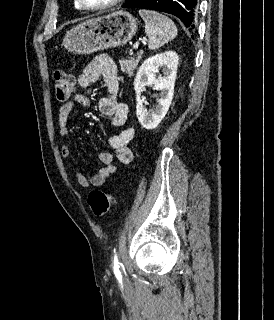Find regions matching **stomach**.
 <instances>
[{"mask_svg":"<svg viewBox=\"0 0 274 320\" xmlns=\"http://www.w3.org/2000/svg\"><path fill=\"white\" fill-rule=\"evenodd\" d=\"M137 30L138 22L129 12H112L71 28L65 34L62 46L72 54H94L107 48L125 46Z\"/></svg>","mask_w":274,"mask_h":320,"instance_id":"0dacf381","label":"stomach"}]
</instances>
